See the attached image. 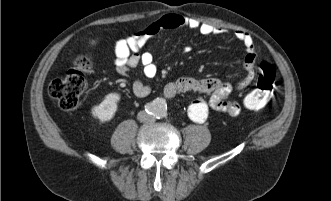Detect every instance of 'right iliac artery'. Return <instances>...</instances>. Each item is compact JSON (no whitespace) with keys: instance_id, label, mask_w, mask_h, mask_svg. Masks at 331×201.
I'll return each mask as SVG.
<instances>
[{"instance_id":"82829eb1","label":"right iliac artery","mask_w":331,"mask_h":201,"mask_svg":"<svg viewBox=\"0 0 331 201\" xmlns=\"http://www.w3.org/2000/svg\"><path fill=\"white\" fill-rule=\"evenodd\" d=\"M145 110H146L148 113L152 114V113L154 112V107H153L151 104H147V105L145 106Z\"/></svg>"}]
</instances>
